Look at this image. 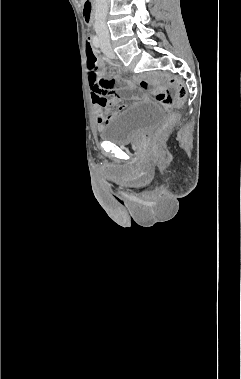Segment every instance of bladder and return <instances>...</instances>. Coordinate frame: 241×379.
Returning a JSON list of instances; mask_svg holds the SVG:
<instances>
[{
  "instance_id": "1",
  "label": "bladder",
  "mask_w": 241,
  "mask_h": 379,
  "mask_svg": "<svg viewBox=\"0 0 241 379\" xmlns=\"http://www.w3.org/2000/svg\"><path fill=\"white\" fill-rule=\"evenodd\" d=\"M162 119L163 112L154 104H133L126 110L114 114L100 128L99 135L101 139L118 145L129 144L156 127Z\"/></svg>"
}]
</instances>
